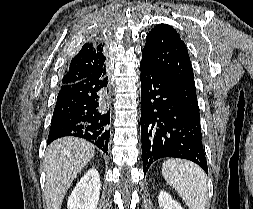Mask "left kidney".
Wrapping results in <instances>:
<instances>
[{"instance_id":"left-kidney-1","label":"left kidney","mask_w":253,"mask_h":209,"mask_svg":"<svg viewBox=\"0 0 253 209\" xmlns=\"http://www.w3.org/2000/svg\"><path fill=\"white\" fill-rule=\"evenodd\" d=\"M159 206L163 209H183L178 202L165 191H161L158 195Z\"/></svg>"}]
</instances>
